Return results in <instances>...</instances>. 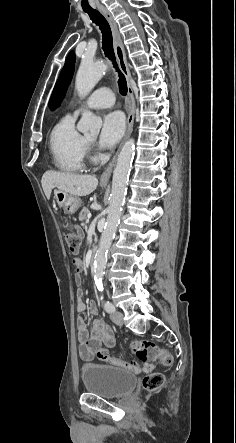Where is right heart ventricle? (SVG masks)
Wrapping results in <instances>:
<instances>
[{
    "label": "right heart ventricle",
    "instance_id": "obj_1",
    "mask_svg": "<svg viewBox=\"0 0 236 443\" xmlns=\"http://www.w3.org/2000/svg\"><path fill=\"white\" fill-rule=\"evenodd\" d=\"M74 117L66 115L53 127L49 137V150L54 166L67 173L85 168L86 142L76 130Z\"/></svg>",
    "mask_w": 236,
    "mask_h": 443
}]
</instances>
